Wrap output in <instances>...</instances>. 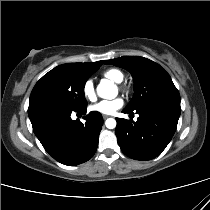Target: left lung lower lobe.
<instances>
[{"mask_svg":"<svg viewBox=\"0 0 210 210\" xmlns=\"http://www.w3.org/2000/svg\"><path fill=\"white\" fill-rule=\"evenodd\" d=\"M123 113L139 114L137 121L116 118V136L122 152L135 160H151L174 135L181 108L178 103L156 102Z\"/></svg>","mask_w":210,"mask_h":210,"instance_id":"obj_1","label":"left lung lower lobe"}]
</instances>
